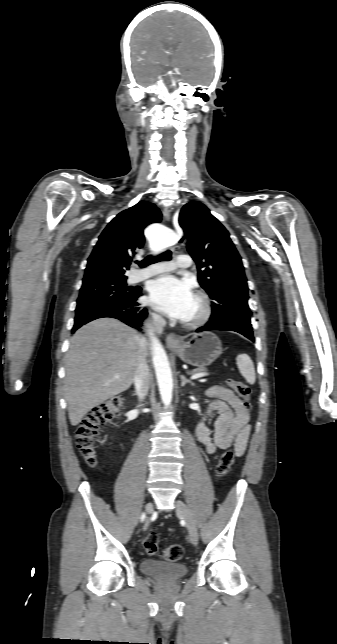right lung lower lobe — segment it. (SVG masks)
Returning a JSON list of instances; mask_svg holds the SVG:
<instances>
[{
    "mask_svg": "<svg viewBox=\"0 0 337 644\" xmlns=\"http://www.w3.org/2000/svg\"><path fill=\"white\" fill-rule=\"evenodd\" d=\"M140 295L141 289L138 288V293L130 297L127 301L112 305L97 306L76 312L72 333L82 325L102 317L119 319L127 325L140 330L138 327L141 326V322L145 317L144 315L147 314L146 310L141 309L139 303H137Z\"/></svg>",
    "mask_w": 337,
    "mask_h": 644,
    "instance_id": "right-lung-lower-lobe-1",
    "label": "right lung lower lobe"
}]
</instances>
